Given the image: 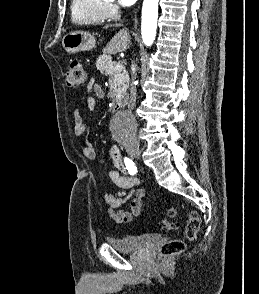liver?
<instances>
[{"label":"liver","mask_w":259,"mask_h":294,"mask_svg":"<svg viewBox=\"0 0 259 294\" xmlns=\"http://www.w3.org/2000/svg\"><path fill=\"white\" fill-rule=\"evenodd\" d=\"M130 45L131 37L127 30L122 29L112 37L103 51L108 54H116L127 50Z\"/></svg>","instance_id":"liver-1"}]
</instances>
